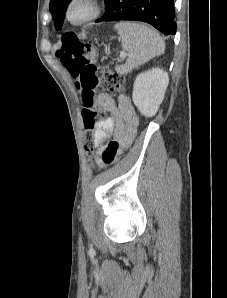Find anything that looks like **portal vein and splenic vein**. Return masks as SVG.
<instances>
[{
  "label": "portal vein and splenic vein",
  "instance_id": "1",
  "mask_svg": "<svg viewBox=\"0 0 227 298\" xmlns=\"http://www.w3.org/2000/svg\"><path fill=\"white\" fill-rule=\"evenodd\" d=\"M124 55H125L124 52H122V53H121V57H123Z\"/></svg>",
  "mask_w": 227,
  "mask_h": 298
}]
</instances>
